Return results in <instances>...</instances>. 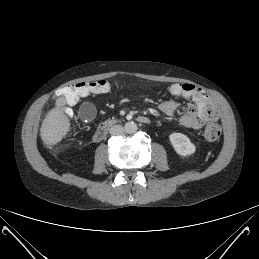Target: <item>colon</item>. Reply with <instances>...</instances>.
<instances>
[{
	"label": "colon",
	"mask_w": 259,
	"mask_h": 259,
	"mask_svg": "<svg viewBox=\"0 0 259 259\" xmlns=\"http://www.w3.org/2000/svg\"><path fill=\"white\" fill-rule=\"evenodd\" d=\"M111 84L106 80H95L90 82H82L72 86L63 87L59 91V95L69 104H75L80 97L87 96L88 94H103L110 90ZM170 94L174 96L181 95L185 99H191L195 95L200 100L208 99V92L205 90H197L192 84H175L169 88ZM69 116L71 112L66 111ZM221 135V128L215 122H210L204 131V136L209 141L217 140Z\"/></svg>",
	"instance_id": "1"
}]
</instances>
